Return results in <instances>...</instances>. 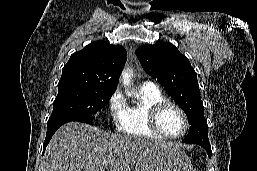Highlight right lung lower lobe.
<instances>
[{
    "label": "right lung lower lobe",
    "instance_id": "1",
    "mask_svg": "<svg viewBox=\"0 0 257 171\" xmlns=\"http://www.w3.org/2000/svg\"><path fill=\"white\" fill-rule=\"evenodd\" d=\"M71 121H79V122H84L88 124H92V121L88 120H82V119H76V118H65V119H60L52 122L47 123V134L45 141L43 143V153L45 152V149L50 142V139L52 138L53 134L57 131V129L62 126L63 124Z\"/></svg>",
    "mask_w": 257,
    "mask_h": 171
}]
</instances>
